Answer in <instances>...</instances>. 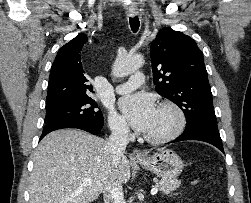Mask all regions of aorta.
Returning <instances> with one entry per match:
<instances>
[{
    "label": "aorta",
    "instance_id": "aorta-1",
    "mask_svg": "<svg viewBox=\"0 0 251 203\" xmlns=\"http://www.w3.org/2000/svg\"><path fill=\"white\" fill-rule=\"evenodd\" d=\"M144 63L141 55L127 56L118 58L112 66V74L115 77H125L139 69Z\"/></svg>",
    "mask_w": 251,
    "mask_h": 203
}]
</instances>
